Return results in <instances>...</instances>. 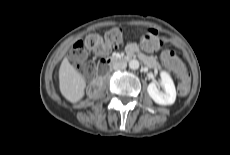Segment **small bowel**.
I'll return each instance as SVG.
<instances>
[{"instance_id": "obj_1", "label": "small bowel", "mask_w": 230, "mask_h": 155, "mask_svg": "<svg viewBox=\"0 0 230 155\" xmlns=\"http://www.w3.org/2000/svg\"><path fill=\"white\" fill-rule=\"evenodd\" d=\"M143 47L146 51H149V52H153V51H156L159 49L160 47V44L158 43V41L156 39H148V38H144L143 42ZM106 50V48H101L100 50H98V53H103L104 51ZM127 50L128 51H134V52H138V46L135 44V43H131L128 45L127 47ZM163 60L166 64V66L176 72V73H180L181 71V67L176 59V57L172 54V52L170 51H165L163 53Z\"/></svg>"}]
</instances>
